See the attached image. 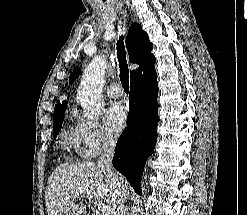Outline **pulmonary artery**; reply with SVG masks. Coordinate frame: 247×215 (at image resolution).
<instances>
[{
	"label": "pulmonary artery",
	"instance_id": "obj_1",
	"mask_svg": "<svg viewBox=\"0 0 247 215\" xmlns=\"http://www.w3.org/2000/svg\"><path fill=\"white\" fill-rule=\"evenodd\" d=\"M106 93L111 98H119L122 96L123 91L121 87L119 86V84L113 83L107 87Z\"/></svg>",
	"mask_w": 247,
	"mask_h": 215
}]
</instances>
